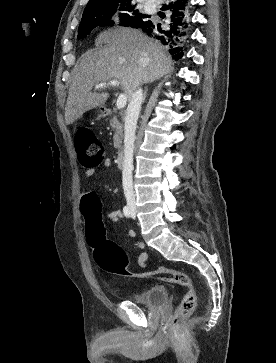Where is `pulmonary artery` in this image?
Segmentation results:
<instances>
[{
    "instance_id": "1",
    "label": "pulmonary artery",
    "mask_w": 276,
    "mask_h": 363,
    "mask_svg": "<svg viewBox=\"0 0 276 363\" xmlns=\"http://www.w3.org/2000/svg\"><path fill=\"white\" fill-rule=\"evenodd\" d=\"M146 6H149V4H146ZM149 11H153L154 9H148Z\"/></svg>"
}]
</instances>
